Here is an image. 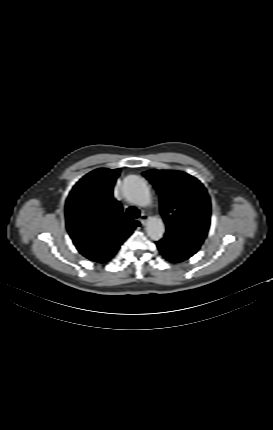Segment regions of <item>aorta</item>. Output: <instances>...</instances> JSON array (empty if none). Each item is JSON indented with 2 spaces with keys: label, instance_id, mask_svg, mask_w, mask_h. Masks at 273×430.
<instances>
[{
  "label": "aorta",
  "instance_id": "1",
  "mask_svg": "<svg viewBox=\"0 0 273 430\" xmlns=\"http://www.w3.org/2000/svg\"><path fill=\"white\" fill-rule=\"evenodd\" d=\"M126 198L133 204L148 207L151 204V195L146 182L136 175L126 177L123 185ZM148 236L154 240H160L165 232L162 220L156 216L149 219L146 227Z\"/></svg>",
  "mask_w": 273,
  "mask_h": 430
}]
</instances>
